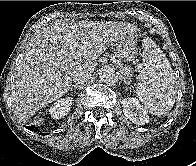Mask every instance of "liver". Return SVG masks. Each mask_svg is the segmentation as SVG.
I'll return each mask as SVG.
<instances>
[{"label":"liver","instance_id":"6515ba94","mask_svg":"<svg viewBox=\"0 0 196 166\" xmlns=\"http://www.w3.org/2000/svg\"><path fill=\"white\" fill-rule=\"evenodd\" d=\"M131 23L56 21L31 38L12 87L16 116L26 122L38 110L65 95L76 72L95 70L96 59L127 34ZM83 47L82 55L76 56Z\"/></svg>","mask_w":196,"mask_h":166}]
</instances>
